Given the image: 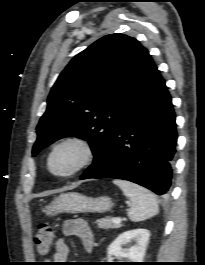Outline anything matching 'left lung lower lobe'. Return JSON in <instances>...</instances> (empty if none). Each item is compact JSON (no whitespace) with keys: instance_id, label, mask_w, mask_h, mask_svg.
<instances>
[{"instance_id":"left-lung-lower-lobe-1","label":"left lung lower lobe","mask_w":205,"mask_h":265,"mask_svg":"<svg viewBox=\"0 0 205 265\" xmlns=\"http://www.w3.org/2000/svg\"><path fill=\"white\" fill-rule=\"evenodd\" d=\"M176 142L171 96L155 66L142 91L121 115L106 147L80 179H124L158 195L167 194Z\"/></svg>"}]
</instances>
